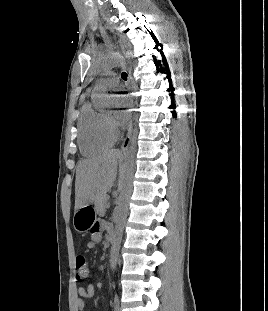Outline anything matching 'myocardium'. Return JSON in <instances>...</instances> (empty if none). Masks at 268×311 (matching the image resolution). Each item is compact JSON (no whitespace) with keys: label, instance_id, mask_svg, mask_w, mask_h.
Returning <instances> with one entry per match:
<instances>
[{"label":"myocardium","instance_id":"1","mask_svg":"<svg viewBox=\"0 0 268 311\" xmlns=\"http://www.w3.org/2000/svg\"><path fill=\"white\" fill-rule=\"evenodd\" d=\"M107 121H108L109 126L112 128V125H111L110 117H109V116H107ZM112 129H113V128H112Z\"/></svg>","mask_w":268,"mask_h":311}]
</instances>
